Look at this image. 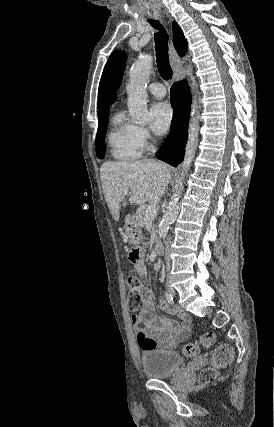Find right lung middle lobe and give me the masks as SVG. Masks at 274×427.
I'll use <instances>...</instances> for the list:
<instances>
[{
	"label": "right lung middle lobe",
	"mask_w": 274,
	"mask_h": 427,
	"mask_svg": "<svg viewBox=\"0 0 274 427\" xmlns=\"http://www.w3.org/2000/svg\"><path fill=\"white\" fill-rule=\"evenodd\" d=\"M109 116V109L98 113V119H99V125H98V131L96 136V153L97 157L100 159L104 158L105 155V134L107 131V119Z\"/></svg>",
	"instance_id": "right-lung-middle-lobe-1"
}]
</instances>
